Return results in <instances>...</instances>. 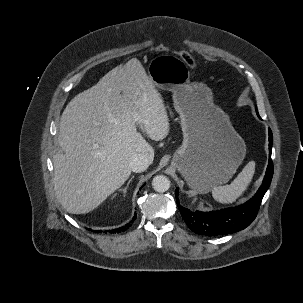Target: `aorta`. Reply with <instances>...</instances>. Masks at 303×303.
I'll use <instances>...</instances> for the list:
<instances>
[{"instance_id": "1", "label": "aorta", "mask_w": 303, "mask_h": 303, "mask_svg": "<svg viewBox=\"0 0 303 303\" xmlns=\"http://www.w3.org/2000/svg\"><path fill=\"white\" fill-rule=\"evenodd\" d=\"M152 187L157 192H166L170 188V181L164 175H157L152 180Z\"/></svg>"}]
</instances>
